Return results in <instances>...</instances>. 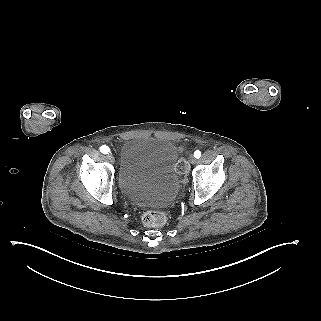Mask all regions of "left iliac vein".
<instances>
[{
	"mask_svg": "<svg viewBox=\"0 0 321 321\" xmlns=\"http://www.w3.org/2000/svg\"><path fill=\"white\" fill-rule=\"evenodd\" d=\"M196 161H197V159H196L193 155H190V156H189V162H190L191 164H195Z\"/></svg>",
	"mask_w": 321,
	"mask_h": 321,
	"instance_id": "4c4485c4",
	"label": "left iliac vein"
}]
</instances>
